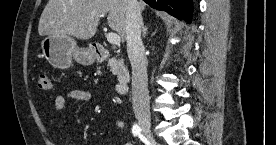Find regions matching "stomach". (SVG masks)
Masks as SVG:
<instances>
[{
	"label": "stomach",
	"instance_id": "stomach-1",
	"mask_svg": "<svg viewBox=\"0 0 276 145\" xmlns=\"http://www.w3.org/2000/svg\"><path fill=\"white\" fill-rule=\"evenodd\" d=\"M43 56L55 68L67 69L72 61L82 65H91L95 62L96 52L89 46L79 48L71 36L48 35L41 42Z\"/></svg>",
	"mask_w": 276,
	"mask_h": 145
}]
</instances>
